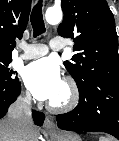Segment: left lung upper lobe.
Masks as SVG:
<instances>
[{
	"label": "left lung upper lobe",
	"instance_id": "left-lung-upper-lobe-1",
	"mask_svg": "<svg viewBox=\"0 0 119 141\" xmlns=\"http://www.w3.org/2000/svg\"><path fill=\"white\" fill-rule=\"evenodd\" d=\"M61 7L58 34L72 38L77 52L64 65L78 89L101 76H119L118 38L106 0H61Z\"/></svg>",
	"mask_w": 119,
	"mask_h": 141
}]
</instances>
